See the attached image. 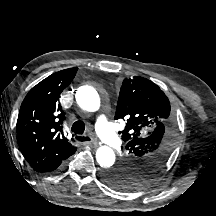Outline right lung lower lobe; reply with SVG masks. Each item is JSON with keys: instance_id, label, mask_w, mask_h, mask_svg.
Here are the masks:
<instances>
[{"instance_id": "obj_1", "label": "right lung lower lobe", "mask_w": 216, "mask_h": 216, "mask_svg": "<svg viewBox=\"0 0 216 216\" xmlns=\"http://www.w3.org/2000/svg\"><path fill=\"white\" fill-rule=\"evenodd\" d=\"M57 168V167H56ZM56 168H54V169H52V170H50V171H53V170H55ZM50 171H48V172H50Z\"/></svg>"}]
</instances>
